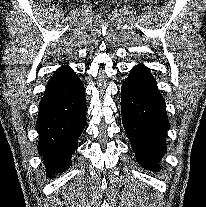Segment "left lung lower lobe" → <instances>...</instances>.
Here are the masks:
<instances>
[{
    "mask_svg": "<svg viewBox=\"0 0 206 207\" xmlns=\"http://www.w3.org/2000/svg\"><path fill=\"white\" fill-rule=\"evenodd\" d=\"M122 122L139 164L150 170L166 152L169 128L165 101L144 66L134 67L121 88Z\"/></svg>",
    "mask_w": 206,
    "mask_h": 207,
    "instance_id": "left-lung-lower-lobe-1",
    "label": "left lung lower lobe"
}]
</instances>
